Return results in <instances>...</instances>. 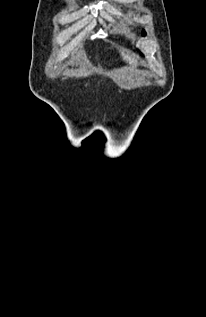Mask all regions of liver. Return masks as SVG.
<instances>
[{
	"label": "liver",
	"mask_w": 206,
	"mask_h": 317,
	"mask_svg": "<svg viewBox=\"0 0 206 317\" xmlns=\"http://www.w3.org/2000/svg\"><path fill=\"white\" fill-rule=\"evenodd\" d=\"M121 56H122L123 60L129 62L130 64H133V65L137 64V61L134 58L125 54L124 52H121Z\"/></svg>",
	"instance_id": "1"
}]
</instances>
